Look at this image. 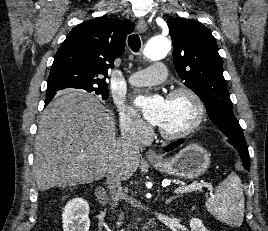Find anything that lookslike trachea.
I'll return each instance as SVG.
<instances>
[{"label": "trachea", "mask_w": 268, "mask_h": 231, "mask_svg": "<svg viewBox=\"0 0 268 231\" xmlns=\"http://www.w3.org/2000/svg\"><path fill=\"white\" fill-rule=\"evenodd\" d=\"M128 45L133 52H138L141 47V41L138 34H133L128 37Z\"/></svg>", "instance_id": "1"}]
</instances>
